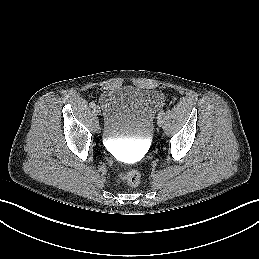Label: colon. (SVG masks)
Masks as SVG:
<instances>
[{"instance_id": "obj_1", "label": "colon", "mask_w": 259, "mask_h": 259, "mask_svg": "<svg viewBox=\"0 0 259 259\" xmlns=\"http://www.w3.org/2000/svg\"><path fill=\"white\" fill-rule=\"evenodd\" d=\"M141 175L135 169L121 171L118 175V182L130 187H135L140 184Z\"/></svg>"}]
</instances>
